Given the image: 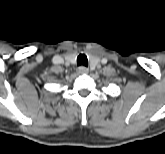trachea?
<instances>
[{
    "label": "trachea",
    "mask_w": 165,
    "mask_h": 154,
    "mask_svg": "<svg viewBox=\"0 0 165 154\" xmlns=\"http://www.w3.org/2000/svg\"><path fill=\"white\" fill-rule=\"evenodd\" d=\"M77 64L78 65H83V66H88V59H87V56L84 55V54H80L78 57H77Z\"/></svg>",
    "instance_id": "1"
}]
</instances>
